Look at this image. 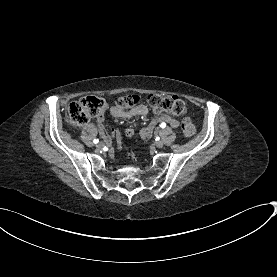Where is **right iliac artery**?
Here are the masks:
<instances>
[{"label": "right iliac artery", "mask_w": 277, "mask_h": 277, "mask_svg": "<svg viewBox=\"0 0 277 277\" xmlns=\"http://www.w3.org/2000/svg\"><path fill=\"white\" fill-rule=\"evenodd\" d=\"M95 144H97L98 143V139H94V141H93Z\"/></svg>", "instance_id": "obj_1"}]
</instances>
